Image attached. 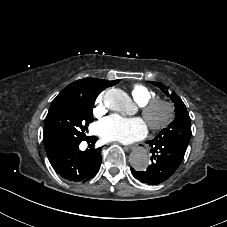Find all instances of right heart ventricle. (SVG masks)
Masks as SVG:
<instances>
[{
	"label": "right heart ventricle",
	"instance_id": "1",
	"mask_svg": "<svg viewBox=\"0 0 227 227\" xmlns=\"http://www.w3.org/2000/svg\"><path fill=\"white\" fill-rule=\"evenodd\" d=\"M129 93L133 100L140 106L155 97V93L142 84H133Z\"/></svg>",
	"mask_w": 227,
	"mask_h": 227
}]
</instances>
